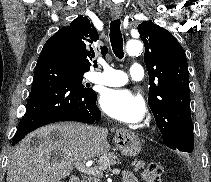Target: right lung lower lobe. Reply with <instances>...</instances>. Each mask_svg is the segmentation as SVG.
Listing matches in <instances>:
<instances>
[{
	"label": "right lung lower lobe",
	"instance_id": "98d812e1",
	"mask_svg": "<svg viewBox=\"0 0 211 182\" xmlns=\"http://www.w3.org/2000/svg\"><path fill=\"white\" fill-rule=\"evenodd\" d=\"M76 71L68 42L60 36L49 38L38 58L26 113L12 145L27 133L49 123L78 121L92 124L101 119L96 93L85 90Z\"/></svg>",
	"mask_w": 211,
	"mask_h": 182
}]
</instances>
